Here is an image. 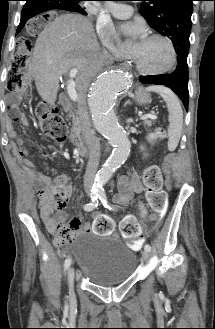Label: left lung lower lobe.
Segmentation results:
<instances>
[{
	"label": "left lung lower lobe",
	"instance_id": "1",
	"mask_svg": "<svg viewBox=\"0 0 215 329\" xmlns=\"http://www.w3.org/2000/svg\"><path fill=\"white\" fill-rule=\"evenodd\" d=\"M176 69L170 74L140 76L139 81L143 84L164 85L173 90L183 102L188 110L189 92H188V52L180 51L177 53Z\"/></svg>",
	"mask_w": 215,
	"mask_h": 329
}]
</instances>
